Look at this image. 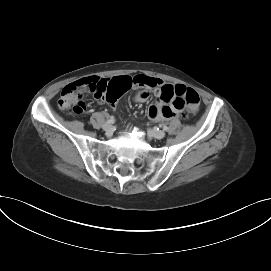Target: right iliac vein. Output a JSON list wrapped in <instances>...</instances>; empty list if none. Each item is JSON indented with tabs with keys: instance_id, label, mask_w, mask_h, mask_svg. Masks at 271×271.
<instances>
[{
	"instance_id": "right-iliac-vein-1",
	"label": "right iliac vein",
	"mask_w": 271,
	"mask_h": 271,
	"mask_svg": "<svg viewBox=\"0 0 271 271\" xmlns=\"http://www.w3.org/2000/svg\"><path fill=\"white\" fill-rule=\"evenodd\" d=\"M103 130H104L105 132H107V133H110L111 130H112V125L109 124V123H105V124L103 125Z\"/></svg>"
}]
</instances>
